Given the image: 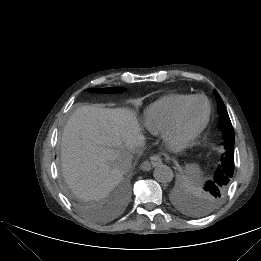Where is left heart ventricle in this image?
I'll list each match as a JSON object with an SVG mask.
<instances>
[{
    "instance_id": "1",
    "label": "left heart ventricle",
    "mask_w": 261,
    "mask_h": 261,
    "mask_svg": "<svg viewBox=\"0 0 261 261\" xmlns=\"http://www.w3.org/2000/svg\"><path fill=\"white\" fill-rule=\"evenodd\" d=\"M206 114V103L203 99L192 101L185 109L179 127V135H188L203 121Z\"/></svg>"
}]
</instances>
